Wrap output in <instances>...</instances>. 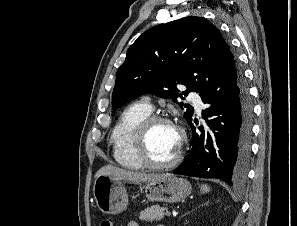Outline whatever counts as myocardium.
<instances>
[{
  "label": "myocardium",
  "instance_id": "f54148a6",
  "mask_svg": "<svg viewBox=\"0 0 297 226\" xmlns=\"http://www.w3.org/2000/svg\"><path fill=\"white\" fill-rule=\"evenodd\" d=\"M158 123H167L173 126L178 131V134H179L177 150L174 156L166 162H156L150 157L148 153V148H147L148 134L151 128ZM185 142H186L185 131L173 119L159 114H150L137 126L133 137V148H134L135 155L142 162L144 166L150 169H168L176 166L182 159Z\"/></svg>",
  "mask_w": 297,
  "mask_h": 226
}]
</instances>
